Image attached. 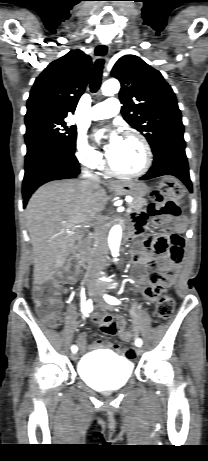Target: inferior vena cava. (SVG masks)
I'll use <instances>...</instances> for the list:
<instances>
[{"label": "inferior vena cava", "instance_id": "602c4592", "mask_svg": "<svg viewBox=\"0 0 208 461\" xmlns=\"http://www.w3.org/2000/svg\"><path fill=\"white\" fill-rule=\"evenodd\" d=\"M84 176L88 177L93 183H99L100 180L96 176H92L88 172H84ZM94 222V230L96 233V250L94 260L91 264L90 276L98 278L104 269L105 256L108 251L106 230L100 218L96 217Z\"/></svg>", "mask_w": 208, "mask_h": 461}]
</instances>
